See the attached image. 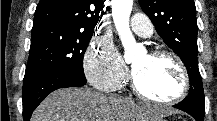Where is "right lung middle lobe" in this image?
<instances>
[{
    "mask_svg": "<svg viewBox=\"0 0 217 121\" xmlns=\"http://www.w3.org/2000/svg\"><path fill=\"white\" fill-rule=\"evenodd\" d=\"M93 32L57 23L33 26L24 77L51 69H62L85 77L83 56Z\"/></svg>",
    "mask_w": 217,
    "mask_h": 121,
    "instance_id": "1",
    "label": "right lung middle lobe"
}]
</instances>
